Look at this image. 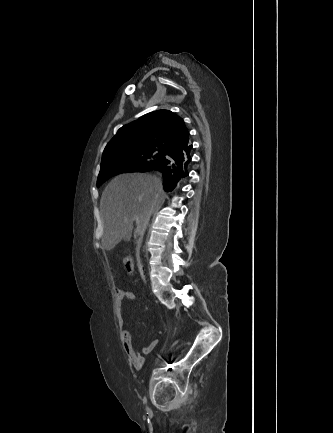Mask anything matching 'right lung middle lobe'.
I'll return each mask as SVG.
<instances>
[{
  "instance_id": "right-lung-middle-lobe-1",
  "label": "right lung middle lobe",
  "mask_w": 333,
  "mask_h": 433,
  "mask_svg": "<svg viewBox=\"0 0 333 433\" xmlns=\"http://www.w3.org/2000/svg\"><path fill=\"white\" fill-rule=\"evenodd\" d=\"M165 155L163 150L156 148H130L111 154L101 161L97 187L120 173L150 170Z\"/></svg>"
}]
</instances>
